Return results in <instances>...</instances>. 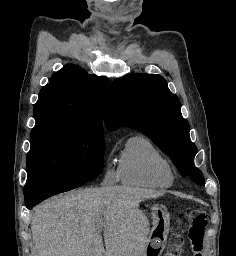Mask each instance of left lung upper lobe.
Segmentation results:
<instances>
[{
	"mask_svg": "<svg viewBox=\"0 0 236 256\" xmlns=\"http://www.w3.org/2000/svg\"><path fill=\"white\" fill-rule=\"evenodd\" d=\"M104 121L110 130L127 126L142 132L162 148L183 177L191 175L205 186L201 171L194 166L197 148L190 139L189 123L162 76L131 74L115 79L106 95Z\"/></svg>",
	"mask_w": 236,
	"mask_h": 256,
	"instance_id": "5c2ea615",
	"label": "left lung upper lobe"
}]
</instances>
